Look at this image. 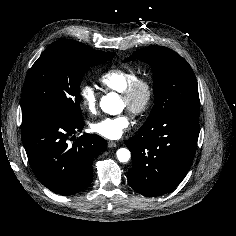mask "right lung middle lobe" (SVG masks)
Segmentation results:
<instances>
[{"label":"right lung middle lobe","instance_id":"dd1d6c3e","mask_svg":"<svg viewBox=\"0 0 236 236\" xmlns=\"http://www.w3.org/2000/svg\"><path fill=\"white\" fill-rule=\"evenodd\" d=\"M80 42L60 39L33 64L22 91V119L39 113L81 117L80 84L85 71L114 57Z\"/></svg>","mask_w":236,"mask_h":236}]
</instances>
